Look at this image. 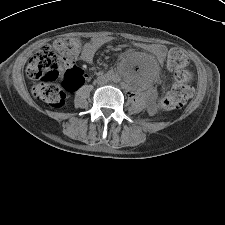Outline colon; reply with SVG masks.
Here are the masks:
<instances>
[{
	"instance_id": "obj_1",
	"label": "colon",
	"mask_w": 225,
	"mask_h": 225,
	"mask_svg": "<svg viewBox=\"0 0 225 225\" xmlns=\"http://www.w3.org/2000/svg\"><path fill=\"white\" fill-rule=\"evenodd\" d=\"M82 47V40L76 37H61L53 44L44 45L29 61L27 76L38 81L32 88L36 99L46 107H62L69 90H76L85 82L86 73L76 66ZM189 60L181 50L170 51L167 66L174 75V84L158 101L163 110L183 107L192 96L189 85L192 75L188 69ZM65 75L61 83L56 80L60 71Z\"/></svg>"
}]
</instances>
